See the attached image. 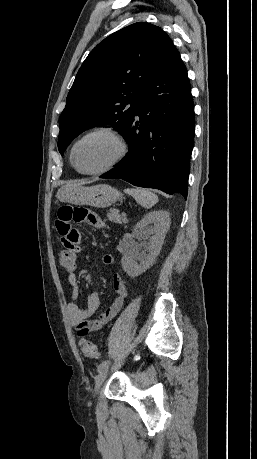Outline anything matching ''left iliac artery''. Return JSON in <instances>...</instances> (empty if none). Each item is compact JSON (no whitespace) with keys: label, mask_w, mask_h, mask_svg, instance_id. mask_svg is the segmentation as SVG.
Wrapping results in <instances>:
<instances>
[{"label":"left iliac artery","mask_w":257,"mask_h":459,"mask_svg":"<svg viewBox=\"0 0 257 459\" xmlns=\"http://www.w3.org/2000/svg\"><path fill=\"white\" fill-rule=\"evenodd\" d=\"M110 364V361L109 360H105L103 362H101L99 365H98V372H100L101 370H103L104 368L108 367Z\"/></svg>","instance_id":"44dca946"}]
</instances>
